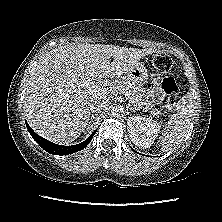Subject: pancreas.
Returning <instances> with one entry per match:
<instances>
[{"mask_svg": "<svg viewBox=\"0 0 222 222\" xmlns=\"http://www.w3.org/2000/svg\"><path fill=\"white\" fill-rule=\"evenodd\" d=\"M119 90L121 92H128L129 93V99L134 104L135 107L138 109H141L144 105L143 96L145 93V89L133 84L130 81H122L118 83ZM154 115H161L160 111L154 110Z\"/></svg>", "mask_w": 222, "mask_h": 222, "instance_id": "1", "label": "pancreas"}]
</instances>
